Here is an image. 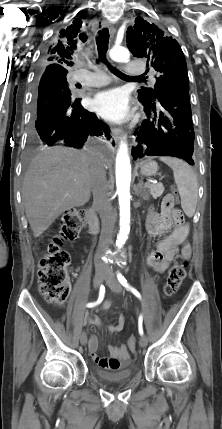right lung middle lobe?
Segmentation results:
<instances>
[{"label": "right lung middle lobe", "mask_w": 222, "mask_h": 429, "mask_svg": "<svg viewBox=\"0 0 222 429\" xmlns=\"http://www.w3.org/2000/svg\"><path fill=\"white\" fill-rule=\"evenodd\" d=\"M66 75H67V74H61V75H56V76H57V79H58L60 82L65 83V84H67V85H68V82H67V79H66Z\"/></svg>", "instance_id": "dd1d6c3e"}]
</instances>
